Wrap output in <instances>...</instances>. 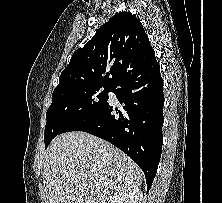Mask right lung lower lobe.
Returning a JSON list of instances; mask_svg holds the SVG:
<instances>
[{"instance_id": "right-lung-lower-lobe-1", "label": "right lung lower lobe", "mask_w": 222, "mask_h": 203, "mask_svg": "<svg viewBox=\"0 0 222 203\" xmlns=\"http://www.w3.org/2000/svg\"><path fill=\"white\" fill-rule=\"evenodd\" d=\"M119 103L108 100L63 130L100 137L125 152L143 170L150 189L162 152L163 80L155 60L135 68L110 88Z\"/></svg>"}]
</instances>
